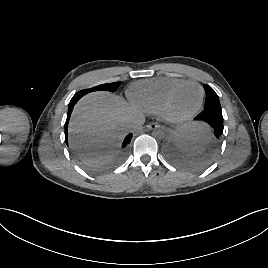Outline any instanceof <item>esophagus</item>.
<instances>
[{
	"mask_svg": "<svg viewBox=\"0 0 268 268\" xmlns=\"http://www.w3.org/2000/svg\"><path fill=\"white\" fill-rule=\"evenodd\" d=\"M146 127L148 130H154L156 128H159L160 125L158 123L153 122V123L148 124Z\"/></svg>",
	"mask_w": 268,
	"mask_h": 268,
	"instance_id": "esophagus-1",
	"label": "esophagus"
}]
</instances>
